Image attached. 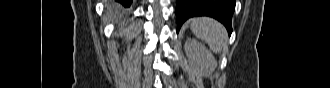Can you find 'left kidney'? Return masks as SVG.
Here are the masks:
<instances>
[{
	"label": "left kidney",
	"mask_w": 330,
	"mask_h": 88,
	"mask_svg": "<svg viewBox=\"0 0 330 88\" xmlns=\"http://www.w3.org/2000/svg\"><path fill=\"white\" fill-rule=\"evenodd\" d=\"M186 56L192 68L202 76H209L217 67V61L205 45L188 38L184 45Z\"/></svg>",
	"instance_id": "left-kidney-1"
}]
</instances>
